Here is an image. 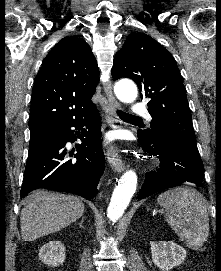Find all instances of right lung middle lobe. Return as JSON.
I'll use <instances>...</instances> for the list:
<instances>
[{"instance_id":"right-lung-middle-lobe-1","label":"right lung middle lobe","mask_w":221,"mask_h":271,"mask_svg":"<svg viewBox=\"0 0 221 271\" xmlns=\"http://www.w3.org/2000/svg\"><path fill=\"white\" fill-rule=\"evenodd\" d=\"M58 130V127L44 128L35 131H30V142L29 146L35 143L38 140L44 139L47 136L55 133Z\"/></svg>"}]
</instances>
